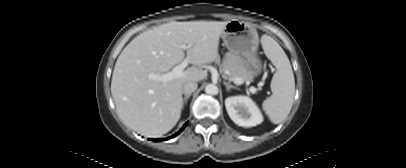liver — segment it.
<instances>
[{"instance_id":"liver-1","label":"liver","mask_w":406,"mask_h":168,"mask_svg":"<svg viewBox=\"0 0 406 168\" xmlns=\"http://www.w3.org/2000/svg\"><path fill=\"white\" fill-rule=\"evenodd\" d=\"M227 23L170 22L134 38L119 55L112 74L111 94L121 121L147 137L169 132L181 117L183 84L207 77V71L196 65L218 59L219 39ZM183 44L190 45L186 58L193 66L165 83L152 79L183 61Z\"/></svg>"}]
</instances>
